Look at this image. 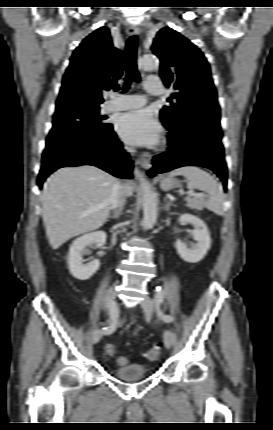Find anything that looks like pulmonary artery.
<instances>
[{
    "instance_id": "1",
    "label": "pulmonary artery",
    "mask_w": 273,
    "mask_h": 430,
    "mask_svg": "<svg viewBox=\"0 0 273 430\" xmlns=\"http://www.w3.org/2000/svg\"><path fill=\"white\" fill-rule=\"evenodd\" d=\"M146 91L151 95H161L162 85L157 78H148L145 83ZM146 103V99L142 95H123L113 98L105 105L107 112L122 111L140 108Z\"/></svg>"
}]
</instances>
